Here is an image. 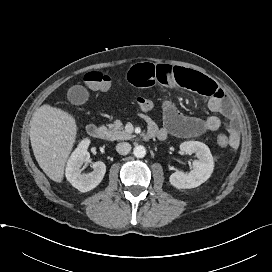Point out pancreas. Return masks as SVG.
Listing matches in <instances>:
<instances>
[{"label": "pancreas", "mask_w": 272, "mask_h": 272, "mask_svg": "<svg viewBox=\"0 0 272 272\" xmlns=\"http://www.w3.org/2000/svg\"><path fill=\"white\" fill-rule=\"evenodd\" d=\"M133 137L134 135L124 130L123 124L119 120H116L113 124L108 125L107 138L110 141L130 140Z\"/></svg>", "instance_id": "obj_1"}]
</instances>
